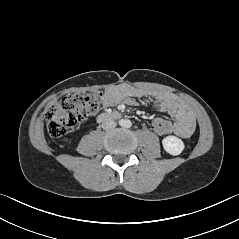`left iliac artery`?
Wrapping results in <instances>:
<instances>
[{"instance_id":"44dca946","label":"left iliac artery","mask_w":239,"mask_h":239,"mask_svg":"<svg viewBox=\"0 0 239 239\" xmlns=\"http://www.w3.org/2000/svg\"><path fill=\"white\" fill-rule=\"evenodd\" d=\"M127 124H128V126H130V122H128Z\"/></svg>"}]
</instances>
